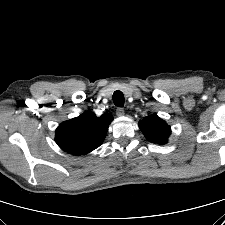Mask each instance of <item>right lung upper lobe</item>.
I'll return each instance as SVG.
<instances>
[{
	"label": "right lung upper lobe",
	"mask_w": 225,
	"mask_h": 225,
	"mask_svg": "<svg viewBox=\"0 0 225 225\" xmlns=\"http://www.w3.org/2000/svg\"><path fill=\"white\" fill-rule=\"evenodd\" d=\"M112 120L109 113L97 117L92 112H85L58 126L56 143L65 152L85 155L102 144Z\"/></svg>",
	"instance_id": "1"
}]
</instances>
